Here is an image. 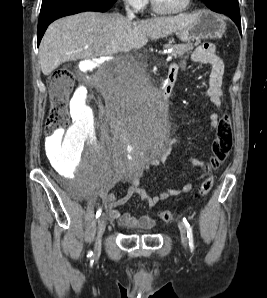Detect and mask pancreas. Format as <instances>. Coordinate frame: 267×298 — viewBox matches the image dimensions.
<instances>
[{
    "label": "pancreas",
    "mask_w": 267,
    "mask_h": 298,
    "mask_svg": "<svg viewBox=\"0 0 267 298\" xmlns=\"http://www.w3.org/2000/svg\"><path fill=\"white\" fill-rule=\"evenodd\" d=\"M165 49L172 48L171 55L175 57H182L185 53H189L193 49L191 43L188 44H165Z\"/></svg>",
    "instance_id": "obj_1"
}]
</instances>
